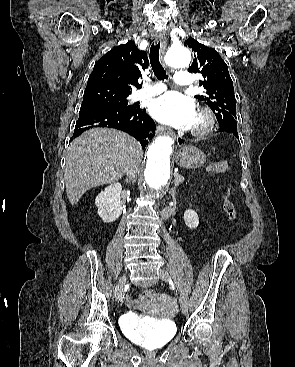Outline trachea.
I'll use <instances>...</instances> for the list:
<instances>
[{
    "label": "trachea",
    "mask_w": 295,
    "mask_h": 367,
    "mask_svg": "<svg viewBox=\"0 0 295 367\" xmlns=\"http://www.w3.org/2000/svg\"><path fill=\"white\" fill-rule=\"evenodd\" d=\"M159 49H160V42H158L157 44L153 43L151 45L149 54L150 64L157 79L164 80L168 78V76L166 75V71L164 70L159 61Z\"/></svg>",
    "instance_id": "3493384b"
}]
</instances>
